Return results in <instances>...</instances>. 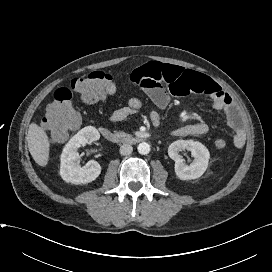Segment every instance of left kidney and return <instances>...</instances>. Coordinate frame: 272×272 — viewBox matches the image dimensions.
Masks as SVG:
<instances>
[{"mask_svg": "<svg viewBox=\"0 0 272 272\" xmlns=\"http://www.w3.org/2000/svg\"><path fill=\"white\" fill-rule=\"evenodd\" d=\"M188 150L194 157L190 165L184 163L179 152ZM168 154L175 161V173L181 180H192L201 177L208 167L210 153L200 142L193 140H177L168 148Z\"/></svg>", "mask_w": 272, "mask_h": 272, "instance_id": "left-kidney-1", "label": "left kidney"}]
</instances>
